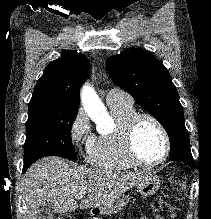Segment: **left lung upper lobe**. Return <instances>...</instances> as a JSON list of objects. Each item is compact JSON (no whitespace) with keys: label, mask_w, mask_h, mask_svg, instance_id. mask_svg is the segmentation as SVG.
Segmentation results:
<instances>
[{"label":"left lung upper lobe","mask_w":211,"mask_h":219,"mask_svg":"<svg viewBox=\"0 0 211 219\" xmlns=\"http://www.w3.org/2000/svg\"><path fill=\"white\" fill-rule=\"evenodd\" d=\"M106 66L112 80L165 128L170 156L190 149L183 107L167 69L146 50L131 49L111 56Z\"/></svg>","instance_id":"5c2ea615"}]
</instances>
